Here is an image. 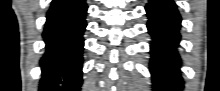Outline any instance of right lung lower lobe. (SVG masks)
<instances>
[{
	"label": "right lung lower lobe",
	"mask_w": 220,
	"mask_h": 91,
	"mask_svg": "<svg viewBox=\"0 0 220 91\" xmlns=\"http://www.w3.org/2000/svg\"><path fill=\"white\" fill-rule=\"evenodd\" d=\"M85 0H54L46 15L40 91H79L82 84Z\"/></svg>",
	"instance_id": "98d812e1"
}]
</instances>
